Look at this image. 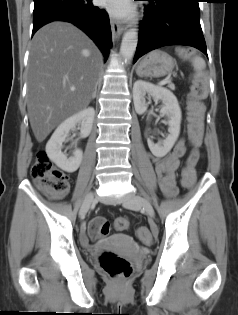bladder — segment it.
I'll list each match as a JSON object with an SVG mask.
<instances>
[{"mask_svg": "<svg viewBox=\"0 0 238 315\" xmlns=\"http://www.w3.org/2000/svg\"><path fill=\"white\" fill-rule=\"evenodd\" d=\"M113 249H131V248H113Z\"/></svg>", "mask_w": 238, "mask_h": 315, "instance_id": "31cf9c89", "label": "bladder"}]
</instances>
